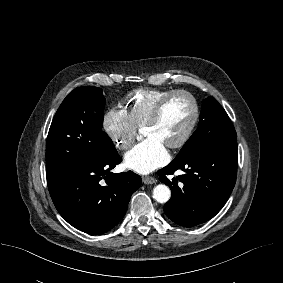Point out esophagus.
Masks as SVG:
<instances>
[{"label":"esophagus","mask_w":283,"mask_h":283,"mask_svg":"<svg viewBox=\"0 0 283 283\" xmlns=\"http://www.w3.org/2000/svg\"><path fill=\"white\" fill-rule=\"evenodd\" d=\"M142 180H143V183L147 184V185L154 184V183L157 182V180L154 177H151V176H145V177L142 178Z\"/></svg>","instance_id":"obj_1"}]
</instances>
